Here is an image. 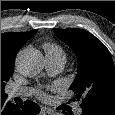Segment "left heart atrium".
Returning <instances> with one entry per match:
<instances>
[{"label":"left heart atrium","mask_w":115,"mask_h":115,"mask_svg":"<svg viewBox=\"0 0 115 115\" xmlns=\"http://www.w3.org/2000/svg\"><path fill=\"white\" fill-rule=\"evenodd\" d=\"M37 95L41 98V99H47V94L46 92L40 90L38 91Z\"/></svg>","instance_id":"obj_1"}]
</instances>
